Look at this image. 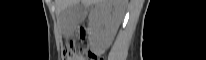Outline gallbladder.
<instances>
[{
	"label": "gallbladder",
	"mask_w": 206,
	"mask_h": 60,
	"mask_svg": "<svg viewBox=\"0 0 206 60\" xmlns=\"http://www.w3.org/2000/svg\"><path fill=\"white\" fill-rule=\"evenodd\" d=\"M85 16L86 7L79 2L66 7L59 14L60 23L64 30H74Z\"/></svg>",
	"instance_id": "gallbladder-1"
}]
</instances>
